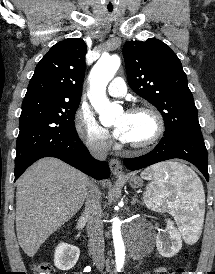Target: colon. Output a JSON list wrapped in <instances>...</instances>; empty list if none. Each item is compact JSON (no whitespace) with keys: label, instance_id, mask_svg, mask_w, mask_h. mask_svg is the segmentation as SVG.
Here are the masks:
<instances>
[{"label":"colon","instance_id":"1","mask_svg":"<svg viewBox=\"0 0 215 274\" xmlns=\"http://www.w3.org/2000/svg\"><path fill=\"white\" fill-rule=\"evenodd\" d=\"M35 269L42 274H51L53 271L52 266L49 263L46 262H41L35 265ZM174 274H187V269L186 268H179L175 271Z\"/></svg>","mask_w":215,"mask_h":274}]
</instances>
